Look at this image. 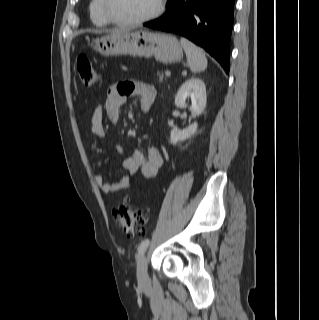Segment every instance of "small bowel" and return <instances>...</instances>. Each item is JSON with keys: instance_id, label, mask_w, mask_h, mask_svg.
Listing matches in <instances>:
<instances>
[{"instance_id": "small-bowel-1", "label": "small bowel", "mask_w": 319, "mask_h": 320, "mask_svg": "<svg viewBox=\"0 0 319 320\" xmlns=\"http://www.w3.org/2000/svg\"><path fill=\"white\" fill-rule=\"evenodd\" d=\"M129 96H137L141 111L148 112L155 102L157 91L153 85L137 81L125 80L111 85L108 89L107 99L94 108L91 116V132L94 137L102 138L105 136L104 116L114 124L120 121V108ZM162 163V154L157 148L149 147L146 153L136 150L123 162V168L127 175L116 183H110L99 174L95 176V182L106 194L126 190L132 186L133 176L136 173H140L147 179L153 178Z\"/></svg>"}]
</instances>
